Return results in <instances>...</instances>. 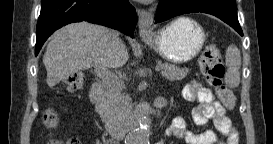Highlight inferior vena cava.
Wrapping results in <instances>:
<instances>
[{"mask_svg": "<svg viewBox=\"0 0 273 144\" xmlns=\"http://www.w3.org/2000/svg\"><path fill=\"white\" fill-rule=\"evenodd\" d=\"M110 36H111V39H112V45H113L114 48H116L117 45H118V41H119V37H118L117 31L110 30Z\"/></svg>", "mask_w": 273, "mask_h": 144, "instance_id": "1", "label": "inferior vena cava"}]
</instances>
